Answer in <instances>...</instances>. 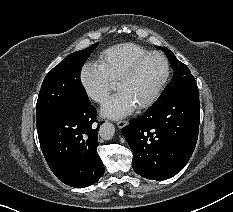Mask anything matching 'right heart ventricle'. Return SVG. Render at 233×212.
I'll use <instances>...</instances> for the list:
<instances>
[{"mask_svg": "<svg viewBox=\"0 0 233 212\" xmlns=\"http://www.w3.org/2000/svg\"><path fill=\"white\" fill-rule=\"evenodd\" d=\"M148 52L134 43L117 44L101 52L97 64L109 80L115 82L134 60Z\"/></svg>", "mask_w": 233, "mask_h": 212, "instance_id": "1", "label": "right heart ventricle"}]
</instances>
